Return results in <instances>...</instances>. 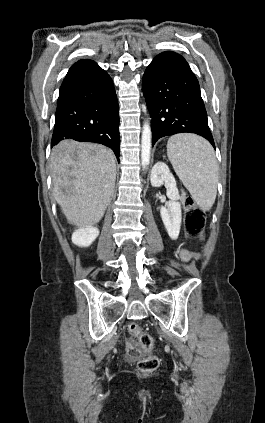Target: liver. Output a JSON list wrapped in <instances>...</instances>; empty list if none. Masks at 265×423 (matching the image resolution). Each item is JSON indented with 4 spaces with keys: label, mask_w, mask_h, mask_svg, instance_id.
I'll return each instance as SVG.
<instances>
[{
    "label": "liver",
    "mask_w": 265,
    "mask_h": 423,
    "mask_svg": "<svg viewBox=\"0 0 265 423\" xmlns=\"http://www.w3.org/2000/svg\"><path fill=\"white\" fill-rule=\"evenodd\" d=\"M50 168L54 197L67 221L79 228L97 224L113 197V152L95 143L63 140L52 149Z\"/></svg>",
    "instance_id": "obj_1"
}]
</instances>
